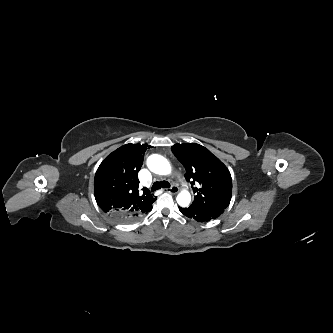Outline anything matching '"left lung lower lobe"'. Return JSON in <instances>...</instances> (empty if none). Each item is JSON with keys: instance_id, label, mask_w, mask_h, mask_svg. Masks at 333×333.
Instances as JSON below:
<instances>
[{"instance_id": "left-lung-lower-lobe-1", "label": "left lung lower lobe", "mask_w": 333, "mask_h": 333, "mask_svg": "<svg viewBox=\"0 0 333 333\" xmlns=\"http://www.w3.org/2000/svg\"><path fill=\"white\" fill-rule=\"evenodd\" d=\"M179 210L185 216L201 222L215 219L224 212V210L221 209L205 208L196 204H191L187 207H179Z\"/></svg>"}]
</instances>
